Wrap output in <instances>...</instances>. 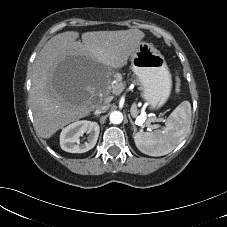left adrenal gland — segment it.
<instances>
[{
  "label": "left adrenal gland",
  "instance_id": "left-adrenal-gland-1",
  "mask_svg": "<svg viewBox=\"0 0 227 227\" xmlns=\"http://www.w3.org/2000/svg\"><path fill=\"white\" fill-rule=\"evenodd\" d=\"M128 117H129L130 123H131V125H132V127H133V130H134V132H135V131H136V126H135V124H134V122H133L131 116L128 115Z\"/></svg>",
  "mask_w": 227,
  "mask_h": 227
}]
</instances>
